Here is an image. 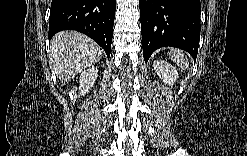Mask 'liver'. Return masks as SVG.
<instances>
[{"mask_svg": "<svg viewBox=\"0 0 247 156\" xmlns=\"http://www.w3.org/2000/svg\"><path fill=\"white\" fill-rule=\"evenodd\" d=\"M102 49L86 35L75 31H61L51 40L49 63L59 79H73L82 70L96 64Z\"/></svg>", "mask_w": 247, "mask_h": 156, "instance_id": "obj_1", "label": "liver"}]
</instances>
